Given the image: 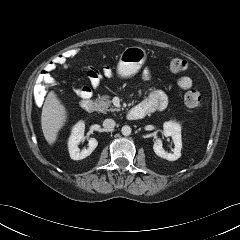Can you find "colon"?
<instances>
[{"mask_svg": "<svg viewBox=\"0 0 240 240\" xmlns=\"http://www.w3.org/2000/svg\"><path fill=\"white\" fill-rule=\"evenodd\" d=\"M79 56H80V49L73 48V49H69V50L59 54L57 57L60 59V61L62 63H64L67 66V65L75 62ZM169 67L172 72L181 73L187 69L188 63L186 60H184L182 58L174 57L171 59V61L169 63ZM91 70H92V68H89L86 71L88 77L91 75ZM37 96L39 99H42L43 98V90H39L37 93ZM184 102L190 108L200 109L203 107V101L201 99V96L195 90H189L185 93Z\"/></svg>", "mask_w": 240, "mask_h": 240, "instance_id": "obj_1", "label": "colon"}]
</instances>
